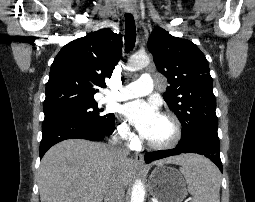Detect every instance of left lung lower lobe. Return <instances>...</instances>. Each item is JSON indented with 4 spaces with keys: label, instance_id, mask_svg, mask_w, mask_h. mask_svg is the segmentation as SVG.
<instances>
[{
    "label": "left lung lower lobe",
    "instance_id": "1",
    "mask_svg": "<svg viewBox=\"0 0 255 202\" xmlns=\"http://www.w3.org/2000/svg\"><path fill=\"white\" fill-rule=\"evenodd\" d=\"M219 152H220L219 139L201 138L187 142L180 141L178 146L174 149L149 152L145 155V161L146 163H150L153 160L178 155L180 153H197L209 158L212 162H214L218 166L220 171H222V163Z\"/></svg>",
    "mask_w": 255,
    "mask_h": 202
}]
</instances>
